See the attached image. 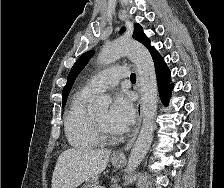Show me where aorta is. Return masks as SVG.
Listing matches in <instances>:
<instances>
[{"label":"aorta","instance_id":"aorta-1","mask_svg":"<svg viewBox=\"0 0 224 188\" xmlns=\"http://www.w3.org/2000/svg\"><path fill=\"white\" fill-rule=\"evenodd\" d=\"M122 56H127L136 65L142 97V127L131 150L127 166V172L131 173L141 163L153 140L158 101L157 81L151 54L137 41L125 38L116 39L102 47L97 61L101 65H108ZM108 104L109 99L101 96L96 99L93 107L100 110L107 108Z\"/></svg>","mask_w":224,"mask_h":188}]
</instances>
